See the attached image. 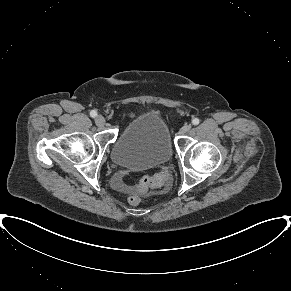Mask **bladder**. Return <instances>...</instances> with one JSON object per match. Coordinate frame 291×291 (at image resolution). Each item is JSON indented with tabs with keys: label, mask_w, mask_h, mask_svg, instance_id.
Masks as SVG:
<instances>
[{
	"label": "bladder",
	"mask_w": 291,
	"mask_h": 291,
	"mask_svg": "<svg viewBox=\"0 0 291 291\" xmlns=\"http://www.w3.org/2000/svg\"><path fill=\"white\" fill-rule=\"evenodd\" d=\"M173 154L170 133L157 115L145 113L130 121L117 136L111 159L119 167L145 170L167 164Z\"/></svg>",
	"instance_id": "bladder-1"
}]
</instances>
